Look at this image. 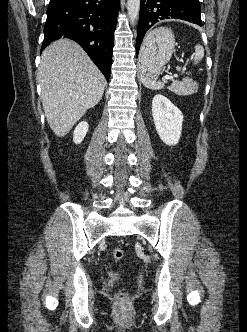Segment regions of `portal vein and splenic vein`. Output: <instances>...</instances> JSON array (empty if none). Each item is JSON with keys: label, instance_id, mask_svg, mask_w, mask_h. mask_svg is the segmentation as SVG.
Instances as JSON below:
<instances>
[{"label": "portal vein and splenic vein", "instance_id": "18ae733b", "mask_svg": "<svg viewBox=\"0 0 247 332\" xmlns=\"http://www.w3.org/2000/svg\"><path fill=\"white\" fill-rule=\"evenodd\" d=\"M182 72H184V70ZM174 77H177V76L175 75ZM174 77H172V80L174 79Z\"/></svg>", "mask_w": 247, "mask_h": 332}]
</instances>
